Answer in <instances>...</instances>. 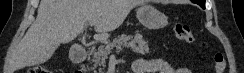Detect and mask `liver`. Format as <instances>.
<instances>
[{
    "label": "liver",
    "instance_id": "obj_1",
    "mask_svg": "<svg viewBox=\"0 0 244 73\" xmlns=\"http://www.w3.org/2000/svg\"><path fill=\"white\" fill-rule=\"evenodd\" d=\"M142 0H41L37 18L19 43L10 73L48 61L60 44L75 39L95 21L96 40H106Z\"/></svg>",
    "mask_w": 244,
    "mask_h": 73
}]
</instances>
